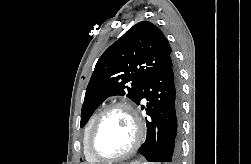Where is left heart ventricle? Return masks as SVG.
<instances>
[{
	"label": "left heart ventricle",
	"mask_w": 251,
	"mask_h": 164,
	"mask_svg": "<svg viewBox=\"0 0 251 164\" xmlns=\"http://www.w3.org/2000/svg\"><path fill=\"white\" fill-rule=\"evenodd\" d=\"M135 139V126L124 109L111 111L102 121L93 142L94 151L103 157L126 152Z\"/></svg>",
	"instance_id": "left-heart-ventricle-1"
}]
</instances>
